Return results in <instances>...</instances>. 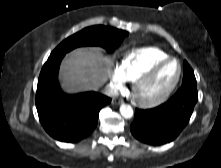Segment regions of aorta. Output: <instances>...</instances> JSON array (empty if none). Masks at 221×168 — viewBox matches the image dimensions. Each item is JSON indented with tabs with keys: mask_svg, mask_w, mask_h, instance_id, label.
<instances>
[{
	"mask_svg": "<svg viewBox=\"0 0 221 168\" xmlns=\"http://www.w3.org/2000/svg\"><path fill=\"white\" fill-rule=\"evenodd\" d=\"M120 113L124 118L129 119L133 116V109L130 105L122 104L120 106Z\"/></svg>",
	"mask_w": 221,
	"mask_h": 168,
	"instance_id": "1",
	"label": "aorta"
}]
</instances>
